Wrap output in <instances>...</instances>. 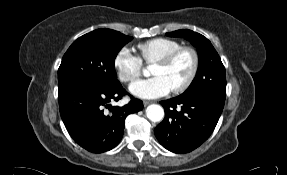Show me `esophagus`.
<instances>
[{
	"instance_id": "1",
	"label": "esophagus",
	"mask_w": 287,
	"mask_h": 175,
	"mask_svg": "<svg viewBox=\"0 0 287 175\" xmlns=\"http://www.w3.org/2000/svg\"><path fill=\"white\" fill-rule=\"evenodd\" d=\"M152 103V101H147V100H145V101H143V105L146 107L147 105H149V104H151Z\"/></svg>"
}]
</instances>
